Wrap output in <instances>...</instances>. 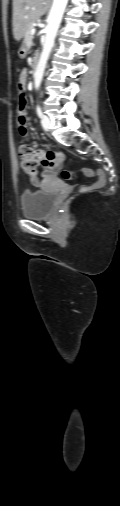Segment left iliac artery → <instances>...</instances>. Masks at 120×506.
Segmentation results:
<instances>
[{
    "mask_svg": "<svg viewBox=\"0 0 120 506\" xmlns=\"http://www.w3.org/2000/svg\"><path fill=\"white\" fill-rule=\"evenodd\" d=\"M36 111H37V115H38L40 118H42L43 113H42V110H41V108H40V106H39V105H37V107H36Z\"/></svg>",
    "mask_w": 120,
    "mask_h": 506,
    "instance_id": "1",
    "label": "left iliac artery"
}]
</instances>
